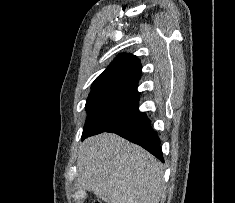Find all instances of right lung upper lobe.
Here are the masks:
<instances>
[{
	"instance_id": "1",
	"label": "right lung upper lobe",
	"mask_w": 235,
	"mask_h": 203,
	"mask_svg": "<svg viewBox=\"0 0 235 203\" xmlns=\"http://www.w3.org/2000/svg\"><path fill=\"white\" fill-rule=\"evenodd\" d=\"M141 63L135 55L120 54L93 82V87L124 84L137 86L141 77Z\"/></svg>"
}]
</instances>
